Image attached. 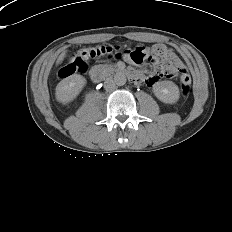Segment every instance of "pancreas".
<instances>
[{"instance_id":"cf45deb5","label":"pancreas","mask_w":232,"mask_h":232,"mask_svg":"<svg viewBox=\"0 0 232 232\" xmlns=\"http://www.w3.org/2000/svg\"><path fill=\"white\" fill-rule=\"evenodd\" d=\"M103 70L107 74H112L115 71V66L107 65V66L103 67Z\"/></svg>"}]
</instances>
